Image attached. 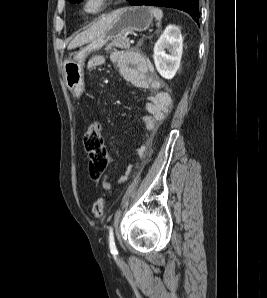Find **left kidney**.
<instances>
[{
  "mask_svg": "<svg viewBox=\"0 0 267 298\" xmlns=\"http://www.w3.org/2000/svg\"><path fill=\"white\" fill-rule=\"evenodd\" d=\"M182 51L183 38L180 28L176 25H168L154 45L155 67L163 78L172 79L175 76L180 67Z\"/></svg>",
  "mask_w": 267,
  "mask_h": 298,
  "instance_id": "left-kidney-1",
  "label": "left kidney"
}]
</instances>
